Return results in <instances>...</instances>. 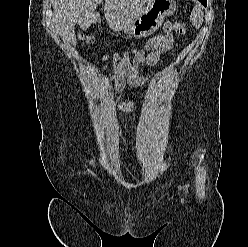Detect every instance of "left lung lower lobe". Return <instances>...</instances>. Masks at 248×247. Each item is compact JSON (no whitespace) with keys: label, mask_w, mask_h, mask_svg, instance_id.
<instances>
[{"label":"left lung lower lobe","mask_w":248,"mask_h":247,"mask_svg":"<svg viewBox=\"0 0 248 247\" xmlns=\"http://www.w3.org/2000/svg\"><path fill=\"white\" fill-rule=\"evenodd\" d=\"M205 7L207 6V0H199Z\"/></svg>","instance_id":"0a47b994"}]
</instances>
